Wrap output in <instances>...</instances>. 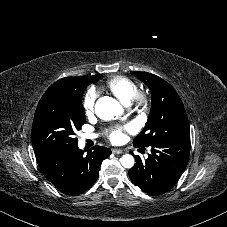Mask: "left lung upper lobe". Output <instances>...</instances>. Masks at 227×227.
<instances>
[{
    "label": "left lung upper lobe",
    "mask_w": 227,
    "mask_h": 227,
    "mask_svg": "<svg viewBox=\"0 0 227 227\" xmlns=\"http://www.w3.org/2000/svg\"><path fill=\"white\" fill-rule=\"evenodd\" d=\"M151 91V113L135 146L147 147L165 141L190 140V129L183 103L174 88L162 78L147 72H131Z\"/></svg>",
    "instance_id": "5c2ea615"
}]
</instances>
